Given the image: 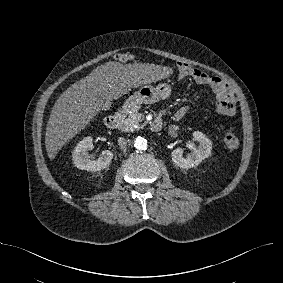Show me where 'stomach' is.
I'll list each match as a JSON object with an SVG mask.
<instances>
[{
  "mask_svg": "<svg viewBox=\"0 0 283 283\" xmlns=\"http://www.w3.org/2000/svg\"><path fill=\"white\" fill-rule=\"evenodd\" d=\"M170 95L171 87L165 82H161L156 86L143 85L125 100L122 110L127 113L129 110L139 108L141 104L157 103L169 98Z\"/></svg>",
  "mask_w": 283,
  "mask_h": 283,
  "instance_id": "stomach-1",
  "label": "stomach"
}]
</instances>
